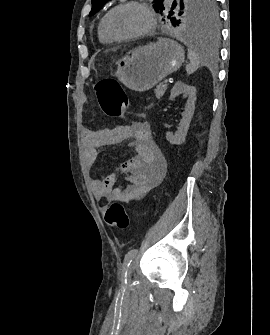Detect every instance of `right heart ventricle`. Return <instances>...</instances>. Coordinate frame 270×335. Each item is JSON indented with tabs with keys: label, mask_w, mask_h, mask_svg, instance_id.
<instances>
[{
	"label": "right heart ventricle",
	"mask_w": 270,
	"mask_h": 335,
	"mask_svg": "<svg viewBox=\"0 0 270 335\" xmlns=\"http://www.w3.org/2000/svg\"><path fill=\"white\" fill-rule=\"evenodd\" d=\"M104 18L105 17H102L99 22L98 37L101 43L110 44V43H113L115 40L106 33L104 29Z\"/></svg>",
	"instance_id": "1"
}]
</instances>
